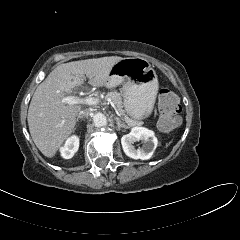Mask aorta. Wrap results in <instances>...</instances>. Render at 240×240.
Segmentation results:
<instances>
[{"label": "aorta", "instance_id": "obj_1", "mask_svg": "<svg viewBox=\"0 0 240 240\" xmlns=\"http://www.w3.org/2000/svg\"><path fill=\"white\" fill-rule=\"evenodd\" d=\"M93 122L96 127H103L107 125V119L102 113L95 114L93 117Z\"/></svg>", "mask_w": 240, "mask_h": 240}]
</instances>
